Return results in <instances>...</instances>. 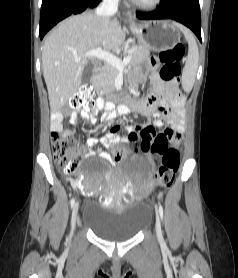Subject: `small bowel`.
<instances>
[{"instance_id":"obj_1","label":"small bowel","mask_w":238,"mask_h":278,"mask_svg":"<svg viewBox=\"0 0 238 278\" xmlns=\"http://www.w3.org/2000/svg\"><path fill=\"white\" fill-rule=\"evenodd\" d=\"M149 64H151V71L155 72L160 68L158 64L159 55H148ZM143 79V74L136 73L131 76V82L135 83ZM153 84L151 88L153 91L149 93L141 102H131L128 105H120L115 107L114 104L105 101L103 98H98L96 101V107L93 111L81 110L80 116L87 120L90 124L97 123V114L99 111H103L102 119L104 121H112L118 115H127L131 112L139 113L144 116H154L160 120H166L170 123L169 126L157 134V127L152 126H126L128 134L126 136H120L118 130L119 125L113 126L101 137H90L81 148V154L84 157H90L98 155L104 158H109V154L103 150H93V147L100 143L105 148H110L118 143L133 142L141 144L145 137H153L148 139L149 143L155 142L156 144H172L177 145L184 131V99L176 89V86H167L161 79V76L153 74ZM168 90V92H167ZM167 96V100H165ZM70 121L72 123L77 122V112L70 114ZM63 114L55 111L51 114V130L52 131H66L63 129ZM160 123V121H158ZM154 153V152H153ZM155 154V153H154ZM161 156V154H155ZM72 185L76 189H80L81 183L77 180H71ZM149 187H152L154 183L148 181Z\"/></svg>"}]
</instances>
